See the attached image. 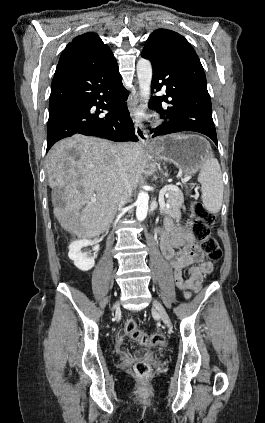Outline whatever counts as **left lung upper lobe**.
<instances>
[{
    "label": "left lung upper lobe",
    "mask_w": 265,
    "mask_h": 423,
    "mask_svg": "<svg viewBox=\"0 0 265 423\" xmlns=\"http://www.w3.org/2000/svg\"><path fill=\"white\" fill-rule=\"evenodd\" d=\"M176 36H181L180 34L167 30V29H158L154 31L148 38L146 45L142 52L144 53H152L154 48H161L164 49L168 46L169 41Z\"/></svg>",
    "instance_id": "left-lung-upper-lobe-1"
}]
</instances>
